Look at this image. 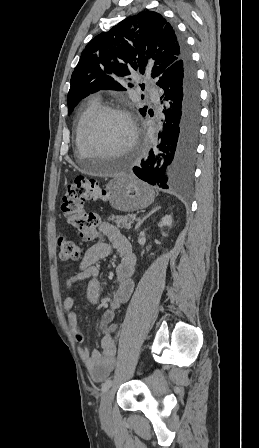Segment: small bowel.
<instances>
[{
  "mask_svg": "<svg viewBox=\"0 0 259 448\" xmlns=\"http://www.w3.org/2000/svg\"><path fill=\"white\" fill-rule=\"evenodd\" d=\"M112 248L116 249L119 255V263L115 270L117 288L113 294L110 308L103 313L99 322V330L103 334L101 341L102 352L97 350L91 352L86 347L79 348L80 358L91 378L96 382L102 381L113 369L116 358V344L112 334L117 329V325L112 322L114 313L120 304L129 300L135 287L133 275L136 257L130 242L116 226L102 223L99 227V238L85 251L78 273L66 281V287L70 290L75 282L88 280L87 298L90 303L98 304L101 284L99 281V270L95 264L99 260L108 257ZM73 306L74 299L69 295L64 300V309L67 313L68 323L74 339L78 343H83L84 335L78 329L77 315L73 311Z\"/></svg>",
  "mask_w": 259,
  "mask_h": 448,
  "instance_id": "obj_1",
  "label": "small bowel"
}]
</instances>
